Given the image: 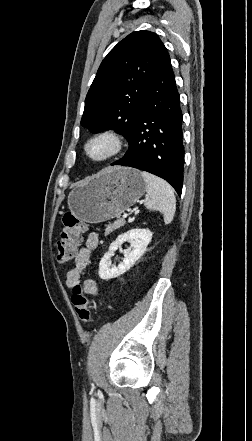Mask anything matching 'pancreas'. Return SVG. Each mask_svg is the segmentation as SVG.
<instances>
[{"mask_svg": "<svg viewBox=\"0 0 252 441\" xmlns=\"http://www.w3.org/2000/svg\"><path fill=\"white\" fill-rule=\"evenodd\" d=\"M126 224L124 219H119L116 220L113 223H109L108 225H106V229H105V234H109L111 232H113L116 229H119L120 227L124 226Z\"/></svg>", "mask_w": 252, "mask_h": 441, "instance_id": "cf45deb5", "label": "pancreas"}]
</instances>
